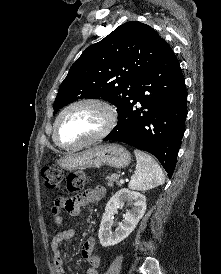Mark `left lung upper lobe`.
Instances as JSON below:
<instances>
[{
	"mask_svg": "<svg viewBox=\"0 0 221 274\" xmlns=\"http://www.w3.org/2000/svg\"><path fill=\"white\" fill-rule=\"evenodd\" d=\"M170 48L150 26L126 22L89 46L71 66L54 102V113L80 98H102L119 112L139 80Z\"/></svg>",
	"mask_w": 221,
	"mask_h": 274,
	"instance_id": "1",
	"label": "left lung upper lobe"
}]
</instances>
